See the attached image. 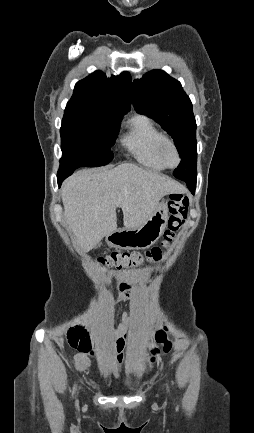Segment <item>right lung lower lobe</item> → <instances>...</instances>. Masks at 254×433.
I'll use <instances>...</instances> for the list:
<instances>
[{
  "label": "right lung lower lobe",
  "instance_id": "obj_1",
  "mask_svg": "<svg viewBox=\"0 0 254 433\" xmlns=\"http://www.w3.org/2000/svg\"><path fill=\"white\" fill-rule=\"evenodd\" d=\"M75 169H77V167L60 165V168H59V171L57 174L58 185L60 186L61 183L63 182V180L65 178H67L68 176H70L74 172Z\"/></svg>",
  "mask_w": 254,
  "mask_h": 433
}]
</instances>
